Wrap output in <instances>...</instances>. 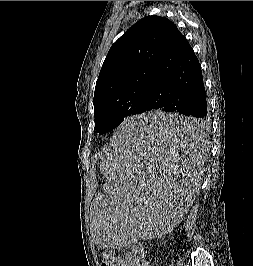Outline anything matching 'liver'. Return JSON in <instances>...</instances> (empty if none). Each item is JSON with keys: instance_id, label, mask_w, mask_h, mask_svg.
I'll use <instances>...</instances> for the list:
<instances>
[{"instance_id": "1", "label": "liver", "mask_w": 253, "mask_h": 266, "mask_svg": "<svg viewBox=\"0 0 253 266\" xmlns=\"http://www.w3.org/2000/svg\"><path fill=\"white\" fill-rule=\"evenodd\" d=\"M116 146H120V144H116Z\"/></svg>"}]
</instances>
